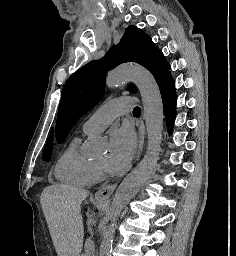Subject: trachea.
Returning a JSON list of instances; mask_svg holds the SVG:
<instances>
[{"instance_id":"trachea-1","label":"trachea","mask_w":236,"mask_h":256,"mask_svg":"<svg viewBox=\"0 0 236 256\" xmlns=\"http://www.w3.org/2000/svg\"><path fill=\"white\" fill-rule=\"evenodd\" d=\"M138 114H141V108L139 106H136L133 109V115H138Z\"/></svg>"}]
</instances>
